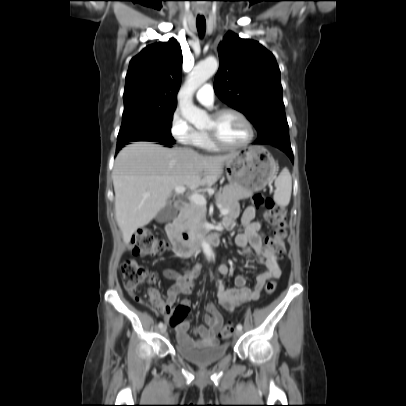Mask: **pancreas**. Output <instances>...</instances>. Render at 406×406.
Instances as JSON below:
<instances>
[{
  "label": "pancreas",
  "mask_w": 406,
  "mask_h": 406,
  "mask_svg": "<svg viewBox=\"0 0 406 406\" xmlns=\"http://www.w3.org/2000/svg\"><path fill=\"white\" fill-rule=\"evenodd\" d=\"M252 195L251 191L245 190L239 186L227 185L220 189L216 194V202L224 209L230 210L234 203L239 200L248 198ZM206 220V208L191 202L181 210L178 221L181 230L194 236L198 231L203 229Z\"/></svg>",
  "instance_id": "1"
}]
</instances>
